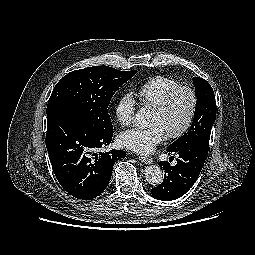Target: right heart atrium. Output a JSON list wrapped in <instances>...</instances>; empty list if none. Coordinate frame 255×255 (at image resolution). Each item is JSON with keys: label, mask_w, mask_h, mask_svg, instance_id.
<instances>
[{"label": "right heart atrium", "mask_w": 255, "mask_h": 255, "mask_svg": "<svg viewBox=\"0 0 255 255\" xmlns=\"http://www.w3.org/2000/svg\"><path fill=\"white\" fill-rule=\"evenodd\" d=\"M136 110V102L134 98L128 94H122L115 104V118L120 125L127 126L134 120Z\"/></svg>", "instance_id": "d8ad5b80"}]
</instances>
